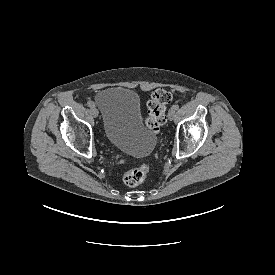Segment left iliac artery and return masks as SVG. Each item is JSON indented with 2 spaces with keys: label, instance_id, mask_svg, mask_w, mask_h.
Returning a JSON list of instances; mask_svg holds the SVG:
<instances>
[{
  "label": "left iliac artery",
  "instance_id": "obj_1",
  "mask_svg": "<svg viewBox=\"0 0 275 275\" xmlns=\"http://www.w3.org/2000/svg\"><path fill=\"white\" fill-rule=\"evenodd\" d=\"M178 108H179V105H177V104H175L171 107V109H173L174 111L178 110Z\"/></svg>",
  "mask_w": 275,
  "mask_h": 275
}]
</instances>
